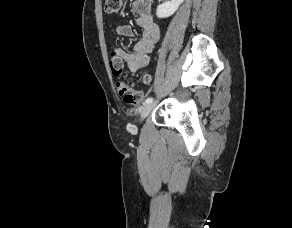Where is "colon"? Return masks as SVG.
Masks as SVG:
<instances>
[{
  "label": "colon",
  "mask_w": 292,
  "mask_h": 228,
  "mask_svg": "<svg viewBox=\"0 0 292 228\" xmlns=\"http://www.w3.org/2000/svg\"><path fill=\"white\" fill-rule=\"evenodd\" d=\"M123 4V0H105V7L108 13L118 12ZM110 67L114 75L120 76L123 73L122 61L115 56L110 58ZM144 82L149 83V75L144 76ZM117 89L119 94L123 96L124 101L130 105H138L143 100V94L141 91L135 89L134 85L125 78L117 82Z\"/></svg>",
  "instance_id": "obj_1"
}]
</instances>
